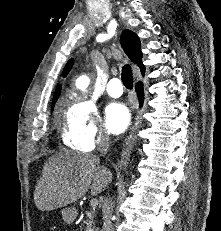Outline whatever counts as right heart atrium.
<instances>
[{
    "mask_svg": "<svg viewBox=\"0 0 221 231\" xmlns=\"http://www.w3.org/2000/svg\"><path fill=\"white\" fill-rule=\"evenodd\" d=\"M64 141L80 151H91L108 141L97 108L88 99L77 97L70 103L65 117Z\"/></svg>",
    "mask_w": 221,
    "mask_h": 231,
    "instance_id": "obj_1",
    "label": "right heart atrium"
}]
</instances>
